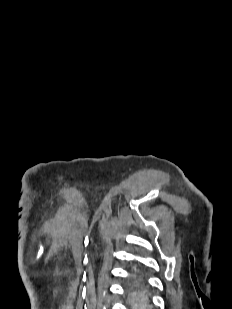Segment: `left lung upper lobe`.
Wrapping results in <instances>:
<instances>
[{
  "mask_svg": "<svg viewBox=\"0 0 232 309\" xmlns=\"http://www.w3.org/2000/svg\"><path fill=\"white\" fill-rule=\"evenodd\" d=\"M133 291H132V293H128V295H129V301H130V303L132 304V300H133Z\"/></svg>",
  "mask_w": 232,
  "mask_h": 309,
  "instance_id": "left-lung-upper-lobe-1",
  "label": "left lung upper lobe"
}]
</instances>
